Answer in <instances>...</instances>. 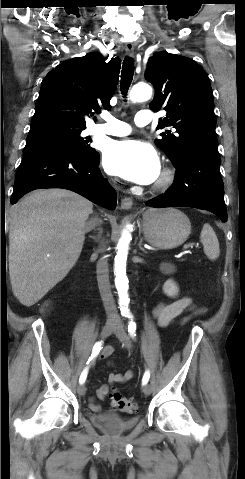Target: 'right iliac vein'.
<instances>
[{
  "instance_id": "obj_1",
  "label": "right iliac vein",
  "mask_w": 245,
  "mask_h": 479,
  "mask_svg": "<svg viewBox=\"0 0 245 479\" xmlns=\"http://www.w3.org/2000/svg\"><path fill=\"white\" fill-rule=\"evenodd\" d=\"M115 326H116L115 323L107 322V323L103 326V328H102V330H101V334H100L101 338H102V339L107 338V337L111 334V332L114 330ZM77 392H78V394H79L80 396L85 395V393H86V388H85V386L82 385V384H80V385L77 387Z\"/></svg>"
}]
</instances>
